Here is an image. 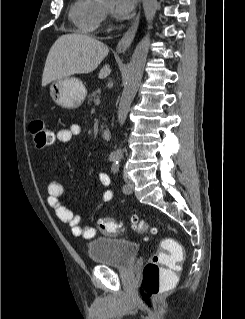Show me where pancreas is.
I'll return each instance as SVG.
<instances>
[{
	"instance_id": "pancreas-1",
	"label": "pancreas",
	"mask_w": 245,
	"mask_h": 319,
	"mask_svg": "<svg viewBox=\"0 0 245 319\" xmlns=\"http://www.w3.org/2000/svg\"><path fill=\"white\" fill-rule=\"evenodd\" d=\"M100 94H101V89L97 88L91 94L88 95V101L90 102L93 99L95 100L96 98L100 96Z\"/></svg>"
}]
</instances>
